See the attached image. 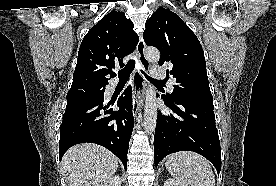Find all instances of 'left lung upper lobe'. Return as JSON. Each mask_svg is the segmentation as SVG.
<instances>
[{
  "mask_svg": "<svg viewBox=\"0 0 276 186\" xmlns=\"http://www.w3.org/2000/svg\"><path fill=\"white\" fill-rule=\"evenodd\" d=\"M143 37L148 46L158 48L159 64H169L167 74L176 79L172 95L166 94L169 100L212 101L202 46L178 15L158 8L146 22Z\"/></svg>",
  "mask_w": 276,
  "mask_h": 186,
  "instance_id": "obj_1",
  "label": "left lung upper lobe"
}]
</instances>
